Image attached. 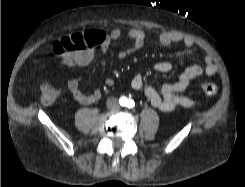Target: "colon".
<instances>
[{
    "label": "colon",
    "mask_w": 245,
    "mask_h": 187,
    "mask_svg": "<svg viewBox=\"0 0 245 187\" xmlns=\"http://www.w3.org/2000/svg\"><path fill=\"white\" fill-rule=\"evenodd\" d=\"M90 48L87 41L86 32H79L62 37L53 45V52L56 55H65L67 53L82 51ZM198 88L209 96H216L219 87L215 83H199ZM61 90L57 86L45 81L41 87V101L45 105H51L58 100Z\"/></svg>",
    "instance_id": "colon-1"
}]
</instances>
